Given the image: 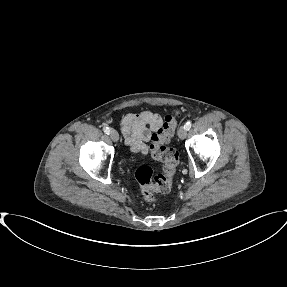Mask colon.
Wrapping results in <instances>:
<instances>
[{"instance_id": "colon-1", "label": "colon", "mask_w": 287, "mask_h": 287, "mask_svg": "<svg viewBox=\"0 0 287 287\" xmlns=\"http://www.w3.org/2000/svg\"><path fill=\"white\" fill-rule=\"evenodd\" d=\"M179 115V111L167 115L162 126L151 136L152 157L162 163L163 172L153 176L152 169L147 165L140 166L135 172L139 192L148 202L155 200V193H167L171 190L179 156L174 149L168 147V143L174 135Z\"/></svg>"}]
</instances>
